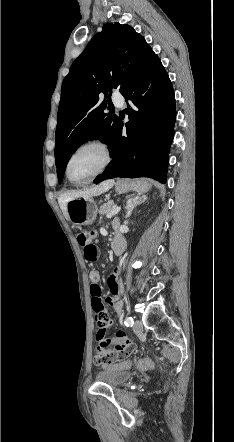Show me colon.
<instances>
[{"label": "colon", "instance_id": "5ec220e1", "mask_svg": "<svg viewBox=\"0 0 234 442\" xmlns=\"http://www.w3.org/2000/svg\"><path fill=\"white\" fill-rule=\"evenodd\" d=\"M92 238L93 232L89 230H82L77 234V242L80 246L83 247L85 258L89 261H95L98 256V249L97 246L91 242ZM99 277V272L96 269L91 270L90 279L92 281V307L95 314H107L106 308L108 306V301L107 298L103 297L101 287L98 285ZM126 342L130 341L127 340ZM106 362H110V365H106ZM106 362L101 365V368L103 370H106L107 368L113 370L115 367H120L123 370H128L129 367L132 365L136 366L139 369H150L154 367L153 359L147 356H143L140 360L134 362L128 360L117 361L116 359L115 362H118L117 364H114L115 362L109 360H106Z\"/></svg>", "mask_w": 234, "mask_h": 442}]
</instances>
